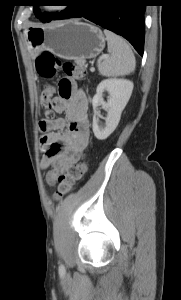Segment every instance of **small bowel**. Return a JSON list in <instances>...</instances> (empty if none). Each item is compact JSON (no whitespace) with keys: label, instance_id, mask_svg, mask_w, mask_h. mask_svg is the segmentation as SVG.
I'll list each match as a JSON object with an SVG mask.
<instances>
[{"label":"small bowel","instance_id":"c3829d8e","mask_svg":"<svg viewBox=\"0 0 181 300\" xmlns=\"http://www.w3.org/2000/svg\"><path fill=\"white\" fill-rule=\"evenodd\" d=\"M52 104L55 113L65 116L42 120L48 126L42 130L41 167L52 168L47 174V181L51 185L55 184L59 173L80 159L90 135L88 99L73 80L65 78L60 81L59 95Z\"/></svg>","mask_w":181,"mask_h":300}]
</instances>
